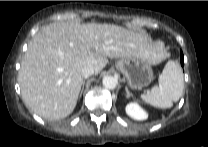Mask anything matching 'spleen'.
Listing matches in <instances>:
<instances>
[{
	"label": "spleen",
	"instance_id": "1",
	"mask_svg": "<svg viewBox=\"0 0 208 147\" xmlns=\"http://www.w3.org/2000/svg\"><path fill=\"white\" fill-rule=\"evenodd\" d=\"M158 83L149 93L141 95L142 100L157 108H171L184 90L183 73L179 64L168 61L159 75Z\"/></svg>",
	"mask_w": 208,
	"mask_h": 147
}]
</instances>
